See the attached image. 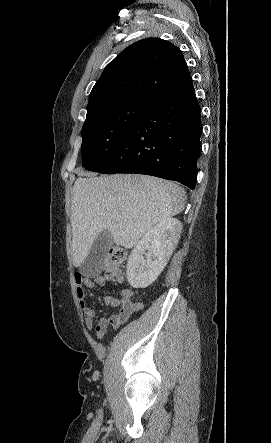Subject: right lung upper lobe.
I'll return each mask as SVG.
<instances>
[{"mask_svg":"<svg viewBox=\"0 0 271 443\" xmlns=\"http://www.w3.org/2000/svg\"><path fill=\"white\" fill-rule=\"evenodd\" d=\"M191 86L178 47L159 38L143 39L127 47L106 66L90 93L87 117L105 103L124 99L152 103Z\"/></svg>","mask_w":271,"mask_h":443,"instance_id":"obj_1","label":"right lung upper lobe"}]
</instances>
